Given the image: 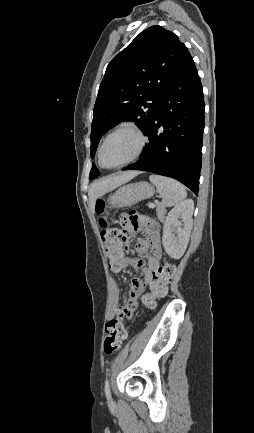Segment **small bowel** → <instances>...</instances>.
<instances>
[{
  "mask_svg": "<svg viewBox=\"0 0 254 433\" xmlns=\"http://www.w3.org/2000/svg\"><path fill=\"white\" fill-rule=\"evenodd\" d=\"M121 219L128 233L132 234L138 230H142L145 233L146 238L136 243L135 250L139 256L146 258L147 263L145 264L142 259L138 257L123 256L119 262L112 264L113 271L116 273L129 266L140 270L143 275V279H132L130 291L124 305L119 304L118 284L116 281L111 282V300L107 308L108 319L123 316L128 317L130 313L135 310L140 297L144 293L145 287L149 286L151 290L153 289L155 285V271L160 266V260L162 257L160 232L156 224L149 223L144 227L141 225L132 226L126 220L125 215H122Z\"/></svg>",
  "mask_w": 254,
  "mask_h": 433,
  "instance_id": "1",
  "label": "small bowel"
}]
</instances>
